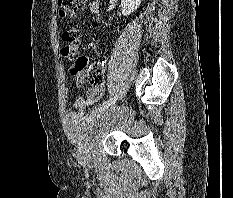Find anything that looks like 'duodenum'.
I'll use <instances>...</instances> for the list:
<instances>
[{
    "mask_svg": "<svg viewBox=\"0 0 233 198\" xmlns=\"http://www.w3.org/2000/svg\"><path fill=\"white\" fill-rule=\"evenodd\" d=\"M90 9L93 13H97L99 11V3L98 0H95L91 3Z\"/></svg>",
    "mask_w": 233,
    "mask_h": 198,
    "instance_id": "410a0bca",
    "label": "duodenum"
}]
</instances>
